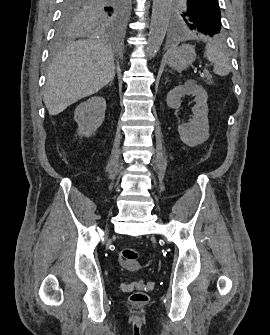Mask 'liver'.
Returning <instances> with one entry per match:
<instances>
[{
	"instance_id": "liver-1",
	"label": "liver",
	"mask_w": 270,
	"mask_h": 335,
	"mask_svg": "<svg viewBox=\"0 0 270 335\" xmlns=\"http://www.w3.org/2000/svg\"><path fill=\"white\" fill-rule=\"evenodd\" d=\"M113 56L106 40H78L58 52L48 68L43 96L50 116L107 86L115 76Z\"/></svg>"
}]
</instances>
